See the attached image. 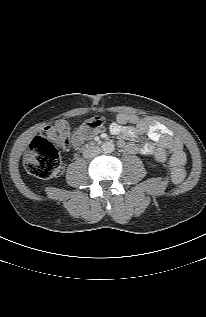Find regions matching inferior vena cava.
I'll list each match as a JSON object with an SVG mask.
<instances>
[{
    "instance_id": "602c4592",
    "label": "inferior vena cava",
    "mask_w": 206,
    "mask_h": 317,
    "mask_svg": "<svg viewBox=\"0 0 206 317\" xmlns=\"http://www.w3.org/2000/svg\"><path fill=\"white\" fill-rule=\"evenodd\" d=\"M101 153V148L98 146H88L83 150V157L91 159Z\"/></svg>"
}]
</instances>
